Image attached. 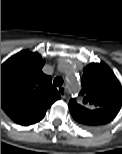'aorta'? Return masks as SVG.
Segmentation results:
<instances>
[{
  "mask_svg": "<svg viewBox=\"0 0 122 154\" xmlns=\"http://www.w3.org/2000/svg\"><path fill=\"white\" fill-rule=\"evenodd\" d=\"M65 75L67 78V84L69 88L74 91L79 88V79L75 76V71L72 67V65L67 64V67L65 69Z\"/></svg>",
  "mask_w": 122,
  "mask_h": 154,
  "instance_id": "1",
  "label": "aorta"
}]
</instances>
